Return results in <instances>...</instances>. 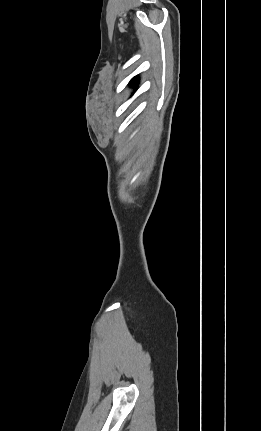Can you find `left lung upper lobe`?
Listing matches in <instances>:
<instances>
[{"label":"left lung upper lobe","instance_id":"1","mask_svg":"<svg viewBox=\"0 0 261 431\" xmlns=\"http://www.w3.org/2000/svg\"><path fill=\"white\" fill-rule=\"evenodd\" d=\"M137 83V77H134L131 81L130 84L135 85Z\"/></svg>","mask_w":261,"mask_h":431}]
</instances>
